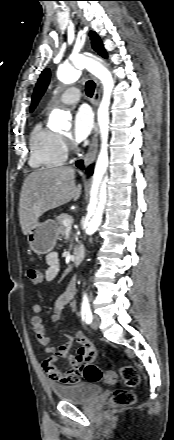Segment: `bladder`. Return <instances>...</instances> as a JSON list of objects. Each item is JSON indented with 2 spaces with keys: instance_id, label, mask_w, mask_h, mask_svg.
Instances as JSON below:
<instances>
[{
  "instance_id": "obj_1",
  "label": "bladder",
  "mask_w": 174,
  "mask_h": 440,
  "mask_svg": "<svg viewBox=\"0 0 174 440\" xmlns=\"http://www.w3.org/2000/svg\"><path fill=\"white\" fill-rule=\"evenodd\" d=\"M55 396L62 402L89 403L102 392V388L89 382L69 385L51 384Z\"/></svg>"
}]
</instances>
